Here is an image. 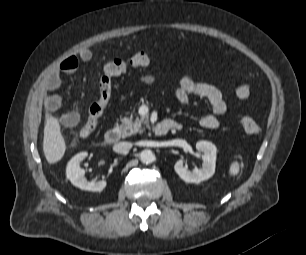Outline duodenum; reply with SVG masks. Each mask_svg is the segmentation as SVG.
Segmentation results:
<instances>
[{"label": "duodenum", "mask_w": 306, "mask_h": 255, "mask_svg": "<svg viewBox=\"0 0 306 255\" xmlns=\"http://www.w3.org/2000/svg\"><path fill=\"white\" fill-rule=\"evenodd\" d=\"M181 128V125L173 120H164L153 128V132L156 136H164L166 135L170 130H179ZM120 139V133L116 129H110L108 130L104 135V142L107 145H112Z\"/></svg>", "instance_id": "1"}]
</instances>
